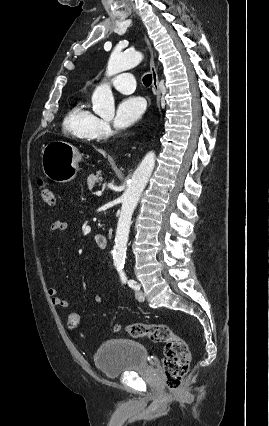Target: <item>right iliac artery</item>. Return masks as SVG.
<instances>
[{
    "label": "right iliac artery",
    "mask_w": 269,
    "mask_h": 426,
    "mask_svg": "<svg viewBox=\"0 0 269 426\" xmlns=\"http://www.w3.org/2000/svg\"><path fill=\"white\" fill-rule=\"evenodd\" d=\"M122 269H123L122 267H118L117 268L122 282L126 283L127 282V277H126V275H125V273H124V271Z\"/></svg>",
    "instance_id": "obj_1"
}]
</instances>
